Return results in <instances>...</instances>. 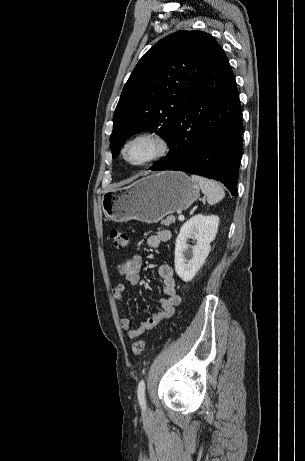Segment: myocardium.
I'll return each instance as SVG.
<instances>
[{
    "label": "myocardium",
    "instance_id": "obj_1",
    "mask_svg": "<svg viewBox=\"0 0 305 461\" xmlns=\"http://www.w3.org/2000/svg\"><path fill=\"white\" fill-rule=\"evenodd\" d=\"M137 141H147L154 145V152L146 159L131 162L126 158V149ZM171 145L166 136L157 130H143L129 137L122 145L120 155L122 160L132 167H145L164 158L170 151Z\"/></svg>",
    "mask_w": 305,
    "mask_h": 461
}]
</instances>
